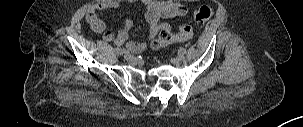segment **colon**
Instances as JSON below:
<instances>
[{
    "instance_id": "obj_1",
    "label": "colon",
    "mask_w": 303,
    "mask_h": 127,
    "mask_svg": "<svg viewBox=\"0 0 303 127\" xmlns=\"http://www.w3.org/2000/svg\"><path fill=\"white\" fill-rule=\"evenodd\" d=\"M213 15V10L209 6H200L194 11V20L198 23H204ZM192 36V28L188 24L180 26L177 34H172L169 30L160 31L159 35L151 41L153 49H160L172 42L188 40Z\"/></svg>"
}]
</instances>
